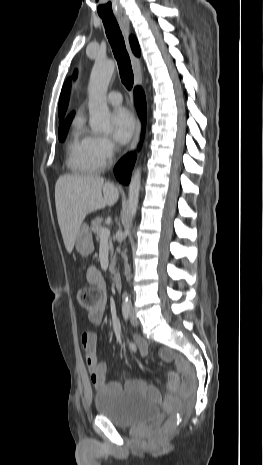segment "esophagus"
Instances as JSON below:
<instances>
[{"label": "esophagus", "mask_w": 263, "mask_h": 465, "mask_svg": "<svg viewBox=\"0 0 263 465\" xmlns=\"http://www.w3.org/2000/svg\"><path fill=\"white\" fill-rule=\"evenodd\" d=\"M117 20H118V22H119V24L121 26V29L123 31V34H124L125 38H126L127 45H128V48H129L132 67H133V71H134V77H135V85L136 86L141 85V83H142V73H141L140 60H139L138 57L133 55V53L130 50L129 42H128V36H129V34L131 32V30H130V21H129L128 17L125 14H119L117 16ZM140 133H141V122H140V120H137V127H136V131H135V134H134L131 146H130V151H132V150H134L136 148V146H137V144L139 142Z\"/></svg>", "instance_id": "obj_1"}]
</instances>
